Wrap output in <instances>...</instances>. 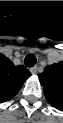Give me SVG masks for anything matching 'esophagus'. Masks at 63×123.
Listing matches in <instances>:
<instances>
[{
  "mask_svg": "<svg viewBox=\"0 0 63 123\" xmlns=\"http://www.w3.org/2000/svg\"><path fill=\"white\" fill-rule=\"evenodd\" d=\"M37 66H34V67H32L31 69H30V72L32 73V74H36L37 73Z\"/></svg>",
  "mask_w": 63,
  "mask_h": 123,
  "instance_id": "1",
  "label": "esophagus"
}]
</instances>
